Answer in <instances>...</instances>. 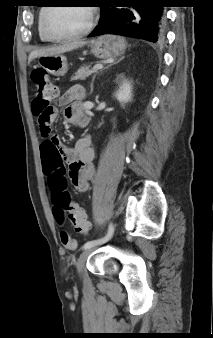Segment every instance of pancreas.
<instances>
[{
  "instance_id": "1",
  "label": "pancreas",
  "mask_w": 213,
  "mask_h": 338,
  "mask_svg": "<svg viewBox=\"0 0 213 338\" xmlns=\"http://www.w3.org/2000/svg\"><path fill=\"white\" fill-rule=\"evenodd\" d=\"M96 69H89L88 67L79 69L75 75L71 78V81L84 80L93 73H96Z\"/></svg>"
}]
</instances>
